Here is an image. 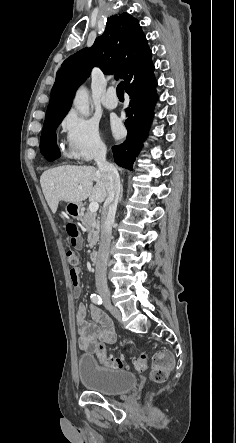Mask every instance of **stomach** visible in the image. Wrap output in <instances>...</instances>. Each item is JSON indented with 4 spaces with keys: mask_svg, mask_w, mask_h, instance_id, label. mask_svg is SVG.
Returning <instances> with one entry per match:
<instances>
[{
    "mask_svg": "<svg viewBox=\"0 0 236 443\" xmlns=\"http://www.w3.org/2000/svg\"><path fill=\"white\" fill-rule=\"evenodd\" d=\"M66 212L72 218H80L81 216V204L68 203L66 206Z\"/></svg>",
    "mask_w": 236,
    "mask_h": 443,
    "instance_id": "1",
    "label": "stomach"
}]
</instances>
